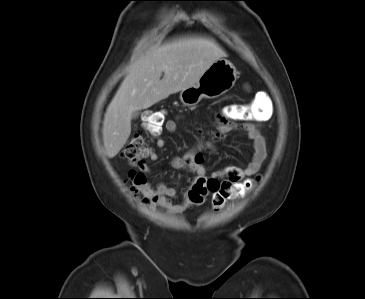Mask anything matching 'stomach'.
Masks as SVG:
<instances>
[{
    "mask_svg": "<svg viewBox=\"0 0 365 299\" xmlns=\"http://www.w3.org/2000/svg\"><path fill=\"white\" fill-rule=\"evenodd\" d=\"M235 66L227 59L216 60L202 74L197 83L180 92L184 106H195L203 98L213 99L228 92L238 78Z\"/></svg>",
    "mask_w": 365,
    "mask_h": 299,
    "instance_id": "0dacf381",
    "label": "stomach"
}]
</instances>
